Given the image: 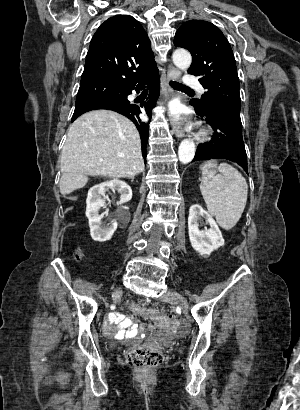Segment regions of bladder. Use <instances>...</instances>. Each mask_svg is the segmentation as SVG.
I'll use <instances>...</instances> for the list:
<instances>
[{
	"label": "bladder",
	"instance_id": "31cf9c89",
	"mask_svg": "<svg viewBox=\"0 0 300 410\" xmlns=\"http://www.w3.org/2000/svg\"><path fill=\"white\" fill-rule=\"evenodd\" d=\"M118 347H119L118 344H112V345H111V348H112V349H117Z\"/></svg>",
	"mask_w": 300,
	"mask_h": 410
}]
</instances>
